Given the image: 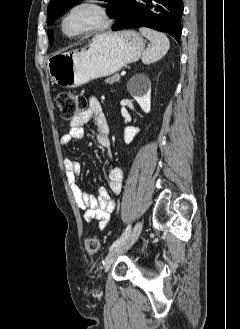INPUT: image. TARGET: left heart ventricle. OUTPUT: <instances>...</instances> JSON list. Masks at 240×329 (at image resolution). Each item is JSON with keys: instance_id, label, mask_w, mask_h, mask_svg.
Masks as SVG:
<instances>
[{"instance_id": "left-heart-ventricle-1", "label": "left heart ventricle", "mask_w": 240, "mask_h": 329, "mask_svg": "<svg viewBox=\"0 0 240 329\" xmlns=\"http://www.w3.org/2000/svg\"><path fill=\"white\" fill-rule=\"evenodd\" d=\"M98 21V14L95 9L85 7L76 10L66 21L65 28L69 32L89 27Z\"/></svg>"}]
</instances>
